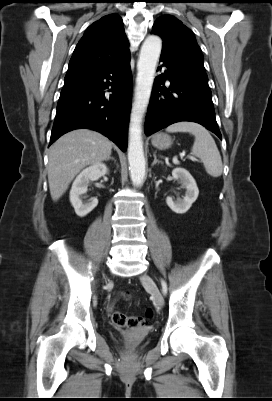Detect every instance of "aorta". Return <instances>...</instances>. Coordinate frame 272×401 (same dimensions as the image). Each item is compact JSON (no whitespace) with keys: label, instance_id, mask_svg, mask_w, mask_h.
<instances>
[{"label":"aorta","instance_id":"1","mask_svg":"<svg viewBox=\"0 0 272 401\" xmlns=\"http://www.w3.org/2000/svg\"><path fill=\"white\" fill-rule=\"evenodd\" d=\"M161 49V38L156 35H149L142 44L137 62V77L134 102L130 114L128 143L130 177L135 186H140L145 178L142 119L149 104Z\"/></svg>","mask_w":272,"mask_h":401}]
</instances>
